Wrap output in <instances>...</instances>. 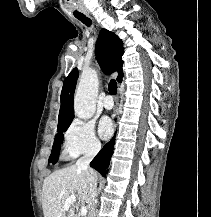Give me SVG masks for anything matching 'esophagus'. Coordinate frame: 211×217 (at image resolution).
<instances>
[{
	"instance_id": "1",
	"label": "esophagus",
	"mask_w": 211,
	"mask_h": 217,
	"mask_svg": "<svg viewBox=\"0 0 211 217\" xmlns=\"http://www.w3.org/2000/svg\"><path fill=\"white\" fill-rule=\"evenodd\" d=\"M117 115H118V102H117L116 108L114 110V117H115V119L117 118Z\"/></svg>"
}]
</instances>
